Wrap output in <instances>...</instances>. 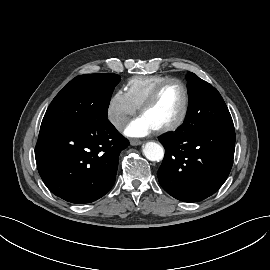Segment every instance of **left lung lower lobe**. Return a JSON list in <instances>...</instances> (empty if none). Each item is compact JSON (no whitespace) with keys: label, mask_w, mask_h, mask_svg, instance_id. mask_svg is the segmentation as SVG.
Returning <instances> with one entry per match:
<instances>
[{"label":"left lung lower lobe","mask_w":270,"mask_h":270,"mask_svg":"<svg viewBox=\"0 0 270 270\" xmlns=\"http://www.w3.org/2000/svg\"><path fill=\"white\" fill-rule=\"evenodd\" d=\"M159 140L166 150L158 170L159 183L174 198L204 200L227 179L235 151L234 126L206 128L184 120L174 133Z\"/></svg>","instance_id":"obj_1"}]
</instances>
